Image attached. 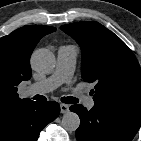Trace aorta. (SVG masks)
<instances>
[{"mask_svg": "<svg viewBox=\"0 0 141 141\" xmlns=\"http://www.w3.org/2000/svg\"><path fill=\"white\" fill-rule=\"evenodd\" d=\"M32 68L39 73H49L55 66V57L48 49L35 50L30 59ZM62 126L67 131H76L80 126V118L74 112H66L62 117Z\"/></svg>", "mask_w": 141, "mask_h": 141, "instance_id": "obj_1", "label": "aorta"}]
</instances>
